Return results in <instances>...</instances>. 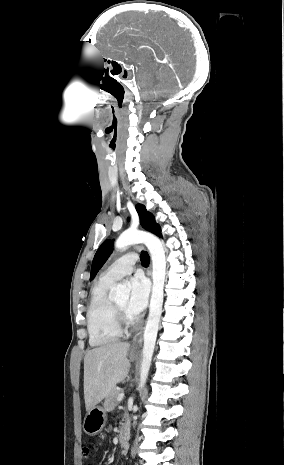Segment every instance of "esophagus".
Masks as SVG:
<instances>
[{
	"label": "esophagus",
	"instance_id": "esophagus-1",
	"mask_svg": "<svg viewBox=\"0 0 284 465\" xmlns=\"http://www.w3.org/2000/svg\"><path fill=\"white\" fill-rule=\"evenodd\" d=\"M149 274L151 276V266L149 267ZM141 333H142V329H140L135 335H134V338H133V347L134 348H138L140 347L141 345Z\"/></svg>",
	"mask_w": 284,
	"mask_h": 465
}]
</instances>
